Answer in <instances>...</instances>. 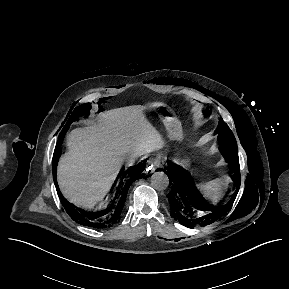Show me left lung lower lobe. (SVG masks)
<instances>
[{"mask_svg": "<svg viewBox=\"0 0 289 289\" xmlns=\"http://www.w3.org/2000/svg\"><path fill=\"white\" fill-rule=\"evenodd\" d=\"M166 169L172 185V190L167 195L171 216L189 228L197 225L206 226L218 220L229 209L238 192L239 164H235L234 174L237 190L224 206H213L207 203L196 189L190 174L181 166L171 163Z\"/></svg>", "mask_w": 289, "mask_h": 289, "instance_id": "1", "label": "left lung lower lobe"}]
</instances>
